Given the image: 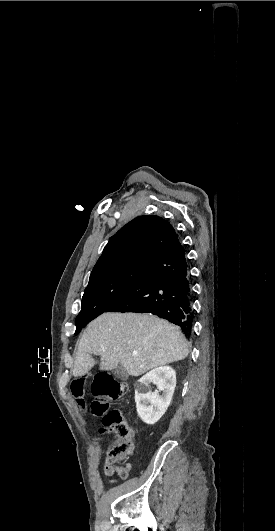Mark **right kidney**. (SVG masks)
<instances>
[{"mask_svg": "<svg viewBox=\"0 0 275 531\" xmlns=\"http://www.w3.org/2000/svg\"><path fill=\"white\" fill-rule=\"evenodd\" d=\"M150 383L157 385V393H151ZM134 387L138 417L146 425H155L171 403L176 387V373L172 367H157L141 377ZM160 391H163L162 395H159Z\"/></svg>", "mask_w": 275, "mask_h": 531, "instance_id": "1", "label": "right kidney"}]
</instances>
